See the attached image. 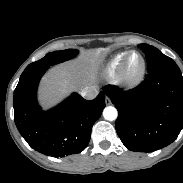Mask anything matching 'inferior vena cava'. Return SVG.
Instances as JSON below:
<instances>
[{
    "label": "inferior vena cava",
    "instance_id": "1",
    "mask_svg": "<svg viewBox=\"0 0 183 183\" xmlns=\"http://www.w3.org/2000/svg\"><path fill=\"white\" fill-rule=\"evenodd\" d=\"M98 93H99V91H98V88L96 86H89V87H85L81 91L80 94L85 99L92 100V99H94L98 95Z\"/></svg>",
    "mask_w": 183,
    "mask_h": 183
}]
</instances>
